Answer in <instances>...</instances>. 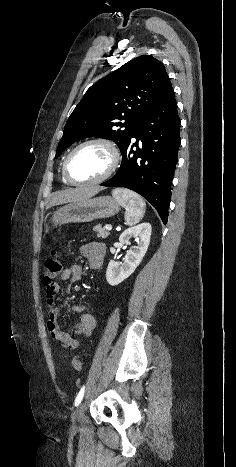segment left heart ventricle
I'll use <instances>...</instances> for the list:
<instances>
[{"label": "left heart ventricle", "instance_id": "obj_1", "mask_svg": "<svg viewBox=\"0 0 236 467\" xmlns=\"http://www.w3.org/2000/svg\"><path fill=\"white\" fill-rule=\"evenodd\" d=\"M110 154L100 145H89L74 155L70 171L77 181H91L102 176L110 165Z\"/></svg>", "mask_w": 236, "mask_h": 467}]
</instances>
